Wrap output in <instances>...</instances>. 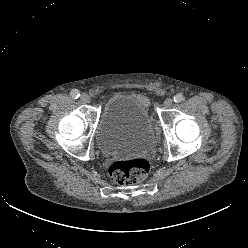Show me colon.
<instances>
[{"instance_id": "colon-1", "label": "colon", "mask_w": 248, "mask_h": 248, "mask_svg": "<svg viewBox=\"0 0 248 248\" xmlns=\"http://www.w3.org/2000/svg\"><path fill=\"white\" fill-rule=\"evenodd\" d=\"M149 171V162L143 158H136L115 161L109 168V175L118 185H129L144 180Z\"/></svg>"}]
</instances>
